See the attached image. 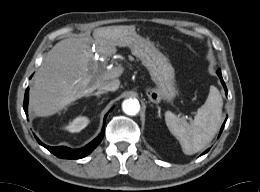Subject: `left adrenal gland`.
Wrapping results in <instances>:
<instances>
[{
  "instance_id": "a2214340",
  "label": "left adrenal gland",
  "mask_w": 260,
  "mask_h": 192,
  "mask_svg": "<svg viewBox=\"0 0 260 192\" xmlns=\"http://www.w3.org/2000/svg\"><path fill=\"white\" fill-rule=\"evenodd\" d=\"M160 112H161V109H160V107H158V116L161 118Z\"/></svg>"
}]
</instances>
